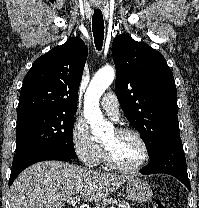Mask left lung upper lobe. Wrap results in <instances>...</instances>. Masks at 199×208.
<instances>
[{"label": "left lung upper lobe", "mask_w": 199, "mask_h": 208, "mask_svg": "<svg viewBox=\"0 0 199 208\" xmlns=\"http://www.w3.org/2000/svg\"><path fill=\"white\" fill-rule=\"evenodd\" d=\"M112 55L120 106L152 155L164 140L179 134L173 73L161 53L125 34L113 40Z\"/></svg>", "instance_id": "left-lung-upper-lobe-1"}]
</instances>
